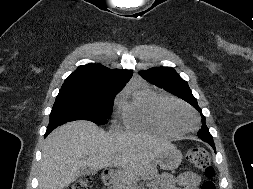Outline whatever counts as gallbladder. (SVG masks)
<instances>
[{"label":"gallbladder","mask_w":253,"mask_h":189,"mask_svg":"<svg viewBox=\"0 0 253 189\" xmlns=\"http://www.w3.org/2000/svg\"><path fill=\"white\" fill-rule=\"evenodd\" d=\"M96 173V170L91 167L82 166L79 169L78 175L79 176H85V175H93Z\"/></svg>","instance_id":"bac80fb5"}]
</instances>
